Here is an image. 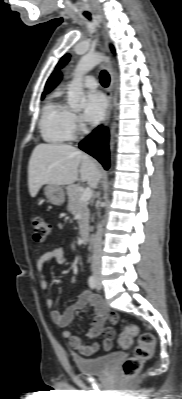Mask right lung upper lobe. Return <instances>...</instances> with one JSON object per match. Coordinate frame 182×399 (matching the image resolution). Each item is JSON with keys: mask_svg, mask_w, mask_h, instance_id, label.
Wrapping results in <instances>:
<instances>
[{"mask_svg": "<svg viewBox=\"0 0 182 399\" xmlns=\"http://www.w3.org/2000/svg\"><path fill=\"white\" fill-rule=\"evenodd\" d=\"M60 80H61V73L59 72L53 73L45 85V90L42 97H44V94L49 93L53 88H55V86L59 83Z\"/></svg>", "mask_w": 182, "mask_h": 399, "instance_id": "obj_1", "label": "right lung upper lobe"}]
</instances>
